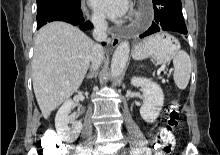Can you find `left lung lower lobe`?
Returning a JSON list of instances; mask_svg holds the SVG:
<instances>
[{"mask_svg":"<svg viewBox=\"0 0 220 155\" xmlns=\"http://www.w3.org/2000/svg\"><path fill=\"white\" fill-rule=\"evenodd\" d=\"M154 21L151 27L140 35L145 37L159 31H174L187 34L182 14L181 0H152Z\"/></svg>","mask_w":220,"mask_h":155,"instance_id":"0a47b994","label":"left lung lower lobe"}]
</instances>
